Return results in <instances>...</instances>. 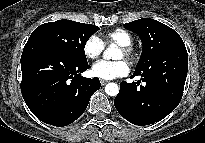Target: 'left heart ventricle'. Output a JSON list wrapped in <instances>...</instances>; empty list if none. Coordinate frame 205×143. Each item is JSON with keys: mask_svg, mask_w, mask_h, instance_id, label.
<instances>
[{"mask_svg": "<svg viewBox=\"0 0 205 143\" xmlns=\"http://www.w3.org/2000/svg\"><path fill=\"white\" fill-rule=\"evenodd\" d=\"M123 58V52L118 49L115 55V59H122Z\"/></svg>", "mask_w": 205, "mask_h": 143, "instance_id": "1", "label": "left heart ventricle"}]
</instances>
